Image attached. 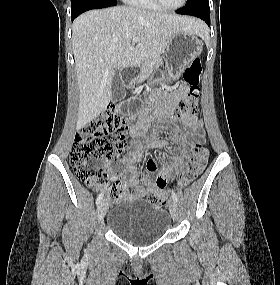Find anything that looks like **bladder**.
<instances>
[{"instance_id":"1","label":"bladder","mask_w":280,"mask_h":285,"mask_svg":"<svg viewBox=\"0 0 280 285\" xmlns=\"http://www.w3.org/2000/svg\"><path fill=\"white\" fill-rule=\"evenodd\" d=\"M108 227L120 238L145 244L161 238L170 225L167 210L142 199L125 200L107 214Z\"/></svg>"}]
</instances>
